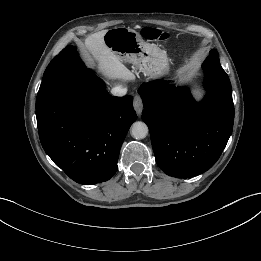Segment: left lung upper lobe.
Returning a JSON list of instances; mask_svg holds the SVG:
<instances>
[{
  "label": "left lung upper lobe",
  "instance_id": "obj_1",
  "mask_svg": "<svg viewBox=\"0 0 261 261\" xmlns=\"http://www.w3.org/2000/svg\"><path fill=\"white\" fill-rule=\"evenodd\" d=\"M209 58L219 59V58H218V52H217L216 50H212V51L210 52Z\"/></svg>",
  "mask_w": 261,
  "mask_h": 261
}]
</instances>
